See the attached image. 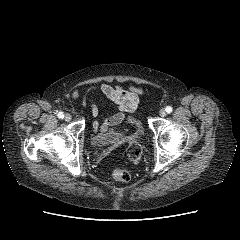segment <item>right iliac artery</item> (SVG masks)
Returning a JSON list of instances; mask_svg holds the SVG:
<instances>
[{"label":"right iliac artery","instance_id":"right-iliac-artery-1","mask_svg":"<svg viewBox=\"0 0 240 240\" xmlns=\"http://www.w3.org/2000/svg\"><path fill=\"white\" fill-rule=\"evenodd\" d=\"M57 116H58V118H60V119L64 118L63 112H59V113L57 114Z\"/></svg>","mask_w":240,"mask_h":240}]
</instances>
